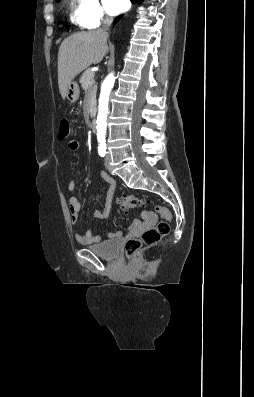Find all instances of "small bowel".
Here are the masks:
<instances>
[{
    "mask_svg": "<svg viewBox=\"0 0 254 397\" xmlns=\"http://www.w3.org/2000/svg\"><path fill=\"white\" fill-rule=\"evenodd\" d=\"M68 148L70 151L72 152H76L79 150V142L76 140H71L68 144ZM100 176L102 177V179L108 183L109 187L106 193V198H105V205H104V209L103 210H94L93 215L96 219H106L111 211V203H112V199H113V195L115 192V188H116V182L115 180L110 177L108 174L101 172ZM76 182L74 180H70L68 182V190L69 191H74L76 189ZM68 206H69V211H70V219H71V223L72 225H77L78 223V219H79V212L81 210V203L78 199L77 196H71L68 199ZM151 217V215L149 213H145V218L149 219ZM140 223L136 222L135 226H138ZM121 236V232H110L107 234V237L110 239H115ZM76 240L83 245H90V244H94V243H98L101 241V237L98 235H93L91 230H86L83 234H79L77 233L75 235Z\"/></svg>",
    "mask_w": 254,
    "mask_h": 397,
    "instance_id": "obj_1",
    "label": "small bowel"
}]
</instances>
